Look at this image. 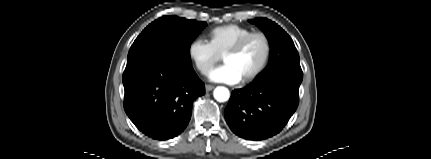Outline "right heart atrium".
Masks as SVG:
<instances>
[{"label": "right heart atrium", "mask_w": 431, "mask_h": 159, "mask_svg": "<svg viewBox=\"0 0 431 159\" xmlns=\"http://www.w3.org/2000/svg\"><path fill=\"white\" fill-rule=\"evenodd\" d=\"M188 57L202 75H208L221 56L210 42L200 37L194 38L187 48Z\"/></svg>", "instance_id": "1"}]
</instances>
